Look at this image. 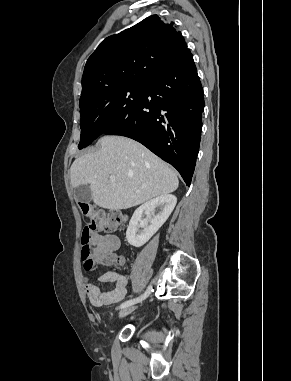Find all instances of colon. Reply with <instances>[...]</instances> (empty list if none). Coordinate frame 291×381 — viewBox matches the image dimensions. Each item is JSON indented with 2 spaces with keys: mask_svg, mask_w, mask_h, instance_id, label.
<instances>
[{
  "mask_svg": "<svg viewBox=\"0 0 291 381\" xmlns=\"http://www.w3.org/2000/svg\"><path fill=\"white\" fill-rule=\"evenodd\" d=\"M80 210L84 217L89 221L81 234V259L84 268L90 271L94 268V249L91 246V240L98 231L112 232L120 229L126 222V217L119 211H104L96 206L87 203H79ZM103 264H120L122 260L111 252H104L99 257Z\"/></svg>",
  "mask_w": 291,
  "mask_h": 381,
  "instance_id": "colon-1",
  "label": "colon"
}]
</instances>
